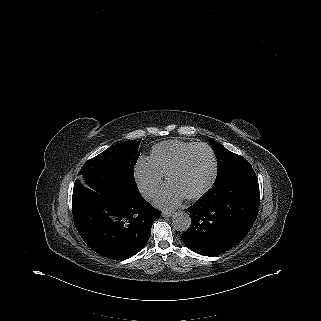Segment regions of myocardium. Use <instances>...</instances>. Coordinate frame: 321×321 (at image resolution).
<instances>
[{
    "label": "myocardium",
    "mask_w": 321,
    "mask_h": 321,
    "mask_svg": "<svg viewBox=\"0 0 321 321\" xmlns=\"http://www.w3.org/2000/svg\"><path fill=\"white\" fill-rule=\"evenodd\" d=\"M199 149H206L211 154L213 159V172L209 181L202 188H200L199 190L193 193L184 195V197L189 200L196 199L204 195L214 185L216 181L217 174H218V162H217L216 154L213 151V149L207 144L196 145L166 175V183L168 186H171V179L175 175L179 174L187 166L193 154Z\"/></svg>",
    "instance_id": "obj_1"
}]
</instances>
